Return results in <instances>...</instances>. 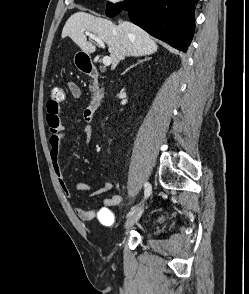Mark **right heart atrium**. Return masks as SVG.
Segmentation results:
<instances>
[{
  "instance_id": "right-heart-atrium-1",
  "label": "right heart atrium",
  "mask_w": 249,
  "mask_h": 294,
  "mask_svg": "<svg viewBox=\"0 0 249 294\" xmlns=\"http://www.w3.org/2000/svg\"><path fill=\"white\" fill-rule=\"evenodd\" d=\"M111 3L117 4V3H122L126 0H109Z\"/></svg>"
}]
</instances>
